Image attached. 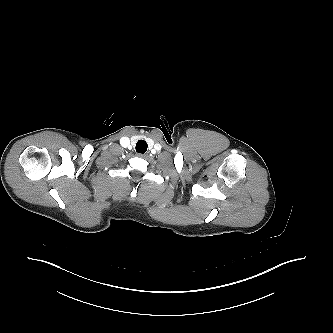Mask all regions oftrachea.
Listing matches in <instances>:
<instances>
[{
    "instance_id": "obj_1",
    "label": "trachea",
    "mask_w": 333,
    "mask_h": 333,
    "mask_svg": "<svg viewBox=\"0 0 333 333\" xmlns=\"http://www.w3.org/2000/svg\"><path fill=\"white\" fill-rule=\"evenodd\" d=\"M148 145L144 140H139L136 144V152L145 153L147 151Z\"/></svg>"
}]
</instances>
